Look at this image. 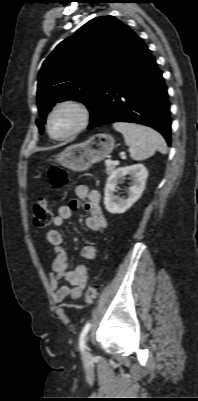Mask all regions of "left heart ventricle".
<instances>
[{
  "label": "left heart ventricle",
  "instance_id": "left-heart-ventricle-1",
  "mask_svg": "<svg viewBox=\"0 0 198 401\" xmlns=\"http://www.w3.org/2000/svg\"><path fill=\"white\" fill-rule=\"evenodd\" d=\"M78 123V115L72 109H61L51 119L50 130L54 136H62L72 131Z\"/></svg>",
  "mask_w": 198,
  "mask_h": 401
}]
</instances>
